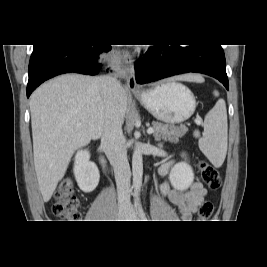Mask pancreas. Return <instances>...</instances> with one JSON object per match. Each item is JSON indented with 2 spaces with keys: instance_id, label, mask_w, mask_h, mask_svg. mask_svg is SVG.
Segmentation results:
<instances>
[{
  "instance_id": "1",
  "label": "pancreas",
  "mask_w": 267,
  "mask_h": 267,
  "mask_svg": "<svg viewBox=\"0 0 267 267\" xmlns=\"http://www.w3.org/2000/svg\"><path fill=\"white\" fill-rule=\"evenodd\" d=\"M152 125L154 128L153 136L157 141L161 139H168L171 142L177 143L179 141V138L184 136L188 131L187 127L185 126L178 127L159 122H153Z\"/></svg>"
}]
</instances>
